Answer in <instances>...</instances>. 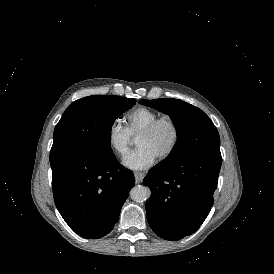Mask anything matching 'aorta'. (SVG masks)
Masks as SVG:
<instances>
[{
	"mask_svg": "<svg viewBox=\"0 0 274 274\" xmlns=\"http://www.w3.org/2000/svg\"><path fill=\"white\" fill-rule=\"evenodd\" d=\"M150 194V190L147 187L141 185L134 186L130 191L131 199L137 203H141L149 199Z\"/></svg>",
	"mask_w": 274,
	"mask_h": 274,
	"instance_id": "762f6f07",
	"label": "aorta"
}]
</instances>
